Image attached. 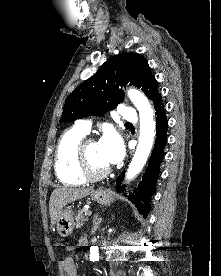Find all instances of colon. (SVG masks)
Instances as JSON below:
<instances>
[{"label":"colon","instance_id":"colon-1","mask_svg":"<svg viewBox=\"0 0 221 276\" xmlns=\"http://www.w3.org/2000/svg\"><path fill=\"white\" fill-rule=\"evenodd\" d=\"M54 247H65V242H54Z\"/></svg>","mask_w":221,"mask_h":276}]
</instances>
